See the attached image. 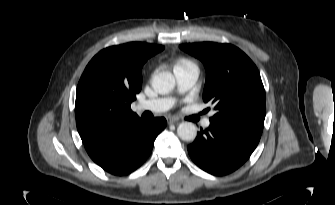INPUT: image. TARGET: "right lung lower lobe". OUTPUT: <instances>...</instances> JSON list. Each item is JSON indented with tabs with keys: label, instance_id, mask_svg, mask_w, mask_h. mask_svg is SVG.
<instances>
[{
	"label": "right lung lower lobe",
	"instance_id": "98d812e1",
	"mask_svg": "<svg viewBox=\"0 0 335 205\" xmlns=\"http://www.w3.org/2000/svg\"><path fill=\"white\" fill-rule=\"evenodd\" d=\"M166 124L163 117L139 119L109 138L84 146L92 160L104 170L114 175H126L148 158L154 140Z\"/></svg>",
	"mask_w": 335,
	"mask_h": 205
}]
</instances>
